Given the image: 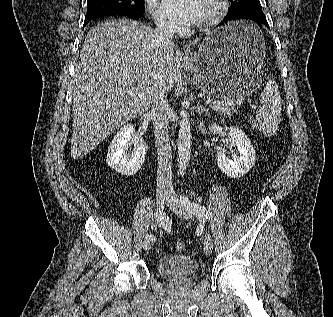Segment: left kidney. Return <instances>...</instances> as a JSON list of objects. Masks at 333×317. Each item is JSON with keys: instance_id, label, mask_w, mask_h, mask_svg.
<instances>
[{"instance_id": "1", "label": "left kidney", "mask_w": 333, "mask_h": 317, "mask_svg": "<svg viewBox=\"0 0 333 317\" xmlns=\"http://www.w3.org/2000/svg\"><path fill=\"white\" fill-rule=\"evenodd\" d=\"M209 129L214 134L222 133L223 130L221 126L215 123ZM228 134L237 147L239 155H234L230 159L227 157L225 151L221 149L216 155L217 164L225 175L232 178H239L247 174L255 165V150L250 139L239 127H230Z\"/></svg>"}]
</instances>
